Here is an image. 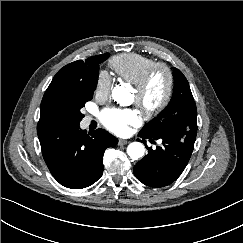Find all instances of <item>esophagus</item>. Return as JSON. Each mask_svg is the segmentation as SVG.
<instances>
[{
  "instance_id": "esophagus-1",
  "label": "esophagus",
  "mask_w": 243,
  "mask_h": 243,
  "mask_svg": "<svg viewBox=\"0 0 243 243\" xmlns=\"http://www.w3.org/2000/svg\"><path fill=\"white\" fill-rule=\"evenodd\" d=\"M127 143H129L128 140H125V139H119V140H118V145H125V144H127Z\"/></svg>"
}]
</instances>
